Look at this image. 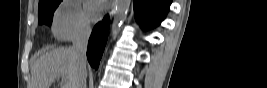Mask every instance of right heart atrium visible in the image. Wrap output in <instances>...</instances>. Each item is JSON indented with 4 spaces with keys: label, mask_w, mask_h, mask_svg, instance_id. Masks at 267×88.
Wrapping results in <instances>:
<instances>
[{
    "label": "right heart atrium",
    "mask_w": 267,
    "mask_h": 88,
    "mask_svg": "<svg viewBox=\"0 0 267 88\" xmlns=\"http://www.w3.org/2000/svg\"><path fill=\"white\" fill-rule=\"evenodd\" d=\"M52 30L59 40H76L89 34L90 24L76 1H65L54 15Z\"/></svg>",
    "instance_id": "1"
}]
</instances>
